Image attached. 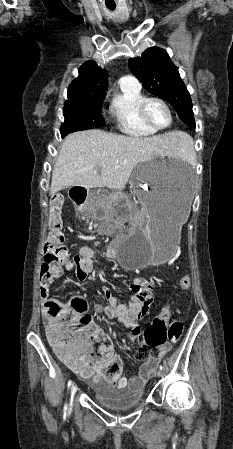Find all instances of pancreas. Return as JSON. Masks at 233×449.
Instances as JSON below:
<instances>
[{
  "instance_id": "pancreas-1",
  "label": "pancreas",
  "mask_w": 233,
  "mask_h": 449,
  "mask_svg": "<svg viewBox=\"0 0 233 449\" xmlns=\"http://www.w3.org/2000/svg\"><path fill=\"white\" fill-rule=\"evenodd\" d=\"M103 202L104 203H107V208H108V210H110V208H111V206H110V204H111V202H109V201H106V199H103ZM134 220H143V216L140 214V213H138V212H135L134 213Z\"/></svg>"
}]
</instances>
